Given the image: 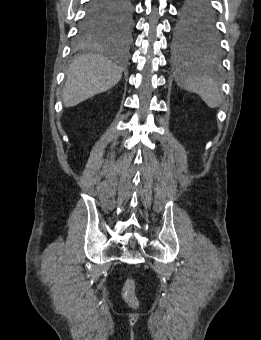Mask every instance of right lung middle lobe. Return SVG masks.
<instances>
[{
	"label": "right lung middle lobe",
	"mask_w": 261,
	"mask_h": 340,
	"mask_svg": "<svg viewBox=\"0 0 261 340\" xmlns=\"http://www.w3.org/2000/svg\"><path fill=\"white\" fill-rule=\"evenodd\" d=\"M133 24L132 5L126 0L124 10L115 16L104 14L85 16L79 27L76 45L83 46L109 39L127 40Z\"/></svg>",
	"instance_id": "right-lung-middle-lobe-1"
}]
</instances>
